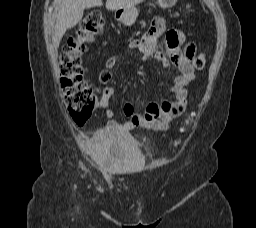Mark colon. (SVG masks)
Returning <instances> with one entry per match:
<instances>
[{
  "instance_id": "colon-1",
  "label": "colon",
  "mask_w": 256,
  "mask_h": 228,
  "mask_svg": "<svg viewBox=\"0 0 256 228\" xmlns=\"http://www.w3.org/2000/svg\"><path fill=\"white\" fill-rule=\"evenodd\" d=\"M104 27V19L100 11L89 12L82 20L76 35L70 38L63 47L59 57L60 82L65 104L70 116L76 123L86 122L99 107L100 100L91 85L84 77L82 54L87 44L92 42ZM206 63L205 55L200 53L193 57L195 69H202ZM190 119L185 121L182 131L186 129Z\"/></svg>"
}]
</instances>
